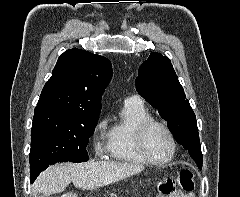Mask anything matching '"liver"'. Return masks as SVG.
<instances>
[{
	"mask_svg": "<svg viewBox=\"0 0 240 197\" xmlns=\"http://www.w3.org/2000/svg\"><path fill=\"white\" fill-rule=\"evenodd\" d=\"M144 170L137 164L89 161L86 163L56 164L43 171L33 184L32 192L48 197L65 191L72 182L76 188L92 190L100 188Z\"/></svg>",
	"mask_w": 240,
	"mask_h": 197,
	"instance_id": "liver-1",
	"label": "liver"
}]
</instances>
